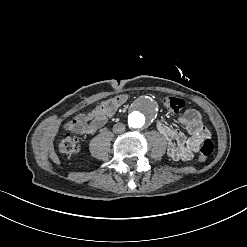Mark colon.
<instances>
[{
    "instance_id": "obj_1",
    "label": "colon",
    "mask_w": 247,
    "mask_h": 247,
    "mask_svg": "<svg viewBox=\"0 0 247 247\" xmlns=\"http://www.w3.org/2000/svg\"><path fill=\"white\" fill-rule=\"evenodd\" d=\"M126 104V94L124 92H118L116 96H105L104 100L99 101L100 114L98 120L105 122L107 116L115 115L116 105ZM185 101L178 98L166 97L163 100V107L171 112H178L185 106ZM79 144L78 136L76 133L68 132L60 140L59 151L68 158L75 156L78 153ZM214 151V143L212 139L207 142H202L199 148V159L204 162Z\"/></svg>"
}]
</instances>
